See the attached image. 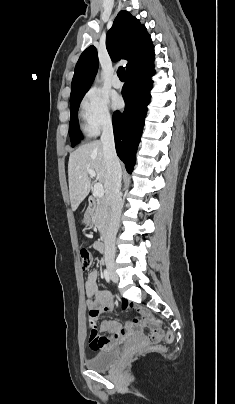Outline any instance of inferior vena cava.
Wrapping results in <instances>:
<instances>
[{
    "instance_id": "inferior-vena-cava-1",
    "label": "inferior vena cava",
    "mask_w": 235,
    "mask_h": 404,
    "mask_svg": "<svg viewBox=\"0 0 235 404\" xmlns=\"http://www.w3.org/2000/svg\"><path fill=\"white\" fill-rule=\"evenodd\" d=\"M101 142L103 144V153L107 167L106 200L110 207V224L104 241L105 254L114 256L115 238L122 211V200L120 196L122 169L115 150L111 120H107L103 125Z\"/></svg>"
}]
</instances>
